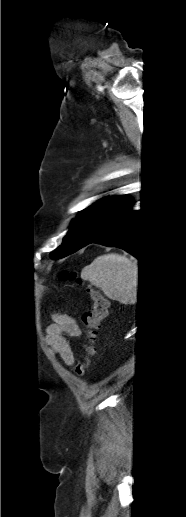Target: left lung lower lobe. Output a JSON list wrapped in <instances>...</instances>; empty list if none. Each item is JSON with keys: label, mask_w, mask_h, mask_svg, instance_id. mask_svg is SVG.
Masks as SVG:
<instances>
[{"label": "left lung lower lobe", "mask_w": 186, "mask_h": 517, "mask_svg": "<svg viewBox=\"0 0 186 517\" xmlns=\"http://www.w3.org/2000/svg\"><path fill=\"white\" fill-rule=\"evenodd\" d=\"M132 204L131 199L122 196L97 222L85 246L99 243L119 247L143 260L142 250L137 243V214L131 210Z\"/></svg>", "instance_id": "0a47b994"}]
</instances>
